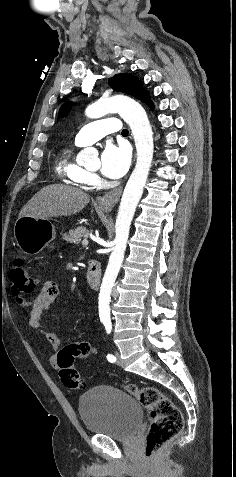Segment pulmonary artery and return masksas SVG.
<instances>
[{
	"label": "pulmonary artery",
	"instance_id": "1",
	"mask_svg": "<svg viewBox=\"0 0 236 477\" xmlns=\"http://www.w3.org/2000/svg\"><path fill=\"white\" fill-rule=\"evenodd\" d=\"M122 125L117 118H106L85 125L76 135L75 143L81 146L93 143L111 132H122Z\"/></svg>",
	"mask_w": 236,
	"mask_h": 477
}]
</instances>
